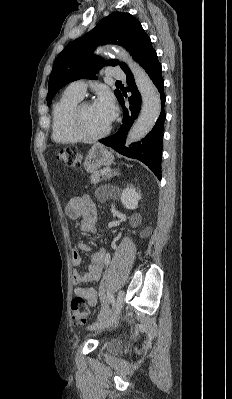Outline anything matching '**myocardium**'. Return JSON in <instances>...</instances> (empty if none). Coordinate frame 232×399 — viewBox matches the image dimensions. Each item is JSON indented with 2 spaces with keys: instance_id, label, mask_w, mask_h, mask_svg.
<instances>
[{
  "instance_id": "obj_1",
  "label": "myocardium",
  "mask_w": 232,
  "mask_h": 399,
  "mask_svg": "<svg viewBox=\"0 0 232 399\" xmlns=\"http://www.w3.org/2000/svg\"><path fill=\"white\" fill-rule=\"evenodd\" d=\"M93 103L91 101H81L79 102L73 109L70 116V129L72 133L81 141L85 142H97L104 138H106L112 131V126L110 125L108 129L99 135H88L83 132L80 126V117L83 110L87 107L92 106Z\"/></svg>"
}]
</instances>
